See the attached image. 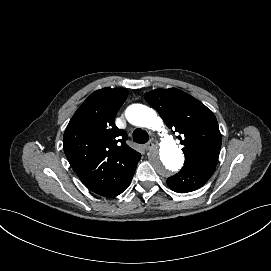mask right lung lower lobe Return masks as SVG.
<instances>
[{
  "label": "right lung lower lobe",
  "instance_id": "1",
  "mask_svg": "<svg viewBox=\"0 0 271 271\" xmlns=\"http://www.w3.org/2000/svg\"><path fill=\"white\" fill-rule=\"evenodd\" d=\"M139 160L140 159H138L129 169L118 171V179L97 194L107 198H112L125 191L133 178Z\"/></svg>",
  "mask_w": 271,
  "mask_h": 271
}]
</instances>
